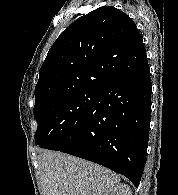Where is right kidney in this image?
<instances>
[{
    "instance_id": "right-kidney-1",
    "label": "right kidney",
    "mask_w": 178,
    "mask_h": 195,
    "mask_svg": "<svg viewBox=\"0 0 178 195\" xmlns=\"http://www.w3.org/2000/svg\"><path fill=\"white\" fill-rule=\"evenodd\" d=\"M103 195H131V190L126 184H115L108 188Z\"/></svg>"
}]
</instances>
